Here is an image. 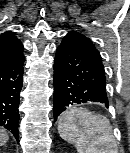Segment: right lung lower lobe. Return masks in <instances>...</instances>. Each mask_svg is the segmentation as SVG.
Segmentation results:
<instances>
[{"label": "right lung lower lobe", "mask_w": 130, "mask_h": 153, "mask_svg": "<svg viewBox=\"0 0 130 153\" xmlns=\"http://www.w3.org/2000/svg\"><path fill=\"white\" fill-rule=\"evenodd\" d=\"M25 58L0 64V127L11 131L18 140L20 91Z\"/></svg>", "instance_id": "1"}]
</instances>
